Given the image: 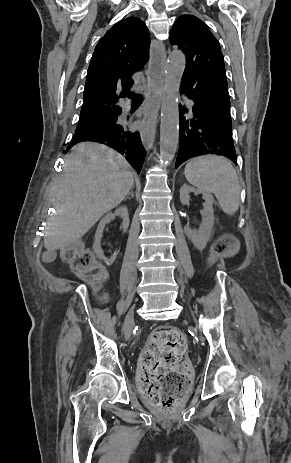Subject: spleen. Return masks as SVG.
Masks as SVG:
<instances>
[{
    "label": "spleen",
    "mask_w": 291,
    "mask_h": 463,
    "mask_svg": "<svg viewBox=\"0 0 291 463\" xmlns=\"http://www.w3.org/2000/svg\"><path fill=\"white\" fill-rule=\"evenodd\" d=\"M184 174L193 186L213 193L227 215L237 212L241 190L239 179L226 158L215 155L194 158L186 164Z\"/></svg>",
    "instance_id": "1"
}]
</instances>
